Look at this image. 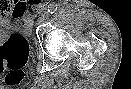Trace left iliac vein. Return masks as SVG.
Returning <instances> with one entry per match:
<instances>
[{"label":"left iliac vein","instance_id":"4c4485c4","mask_svg":"<svg viewBox=\"0 0 131 89\" xmlns=\"http://www.w3.org/2000/svg\"><path fill=\"white\" fill-rule=\"evenodd\" d=\"M48 16H49V12L46 10L42 13L40 19H39V22H44L48 19Z\"/></svg>","mask_w":131,"mask_h":89}]
</instances>
